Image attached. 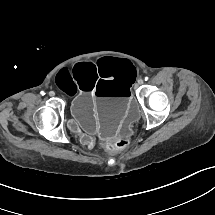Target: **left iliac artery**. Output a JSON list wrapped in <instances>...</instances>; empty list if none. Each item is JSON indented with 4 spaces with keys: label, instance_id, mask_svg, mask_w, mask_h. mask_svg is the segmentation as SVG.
<instances>
[{
    "label": "left iliac artery",
    "instance_id": "44dca946",
    "mask_svg": "<svg viewBox=\"0 0 215 215\" xmlns=\"http://www.w3.org/2000/svg\"><path fill=\"white\" fill-rule=\"evenodd\" d=\"M148 79H149V78L146 76V77H145V81H147Z\"/></svg>",
    "mask_w": 215,
    "mask_h": 215
}]
</instances>
